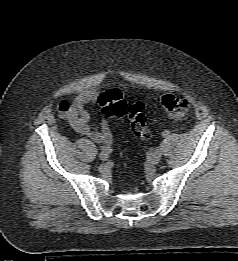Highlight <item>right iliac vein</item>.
<instances>
[{
  "mask_svg": "<svg viewBox=\"0 0 238 261\" xmlns=\"http://www.w3.org/2000/svg\"><path fill=\"white\" fill-rule=\"evenodd\" d=\"M99 158L102 160V161H106L108 159V154L104 151L100 152L99 154Z\"/></svg>",
  "mask_w": 238,
  "mask_h": 261,
  "instance_id": "right-iliac-vein-1",
  "label": "right iliac vein"
}]
</instances>
